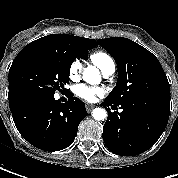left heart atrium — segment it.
Instances as JSON below:
<instances>
[{"mask_svg":"<svg viewBox=\"0 0 178 178\" xmlns=\"http://www.w3.org/2000/svg\"><path fill=\"white\" fill-rule=\"evenodd\" d=\"M75 94L88 102H93L96 98L102 96L103 90L101 88H93L84 84H79L75 88Z\"/></svg>","mask_w":178,"mask_h":178,"instance_id":"1","label":"left heart atrium"}]
</instances>
